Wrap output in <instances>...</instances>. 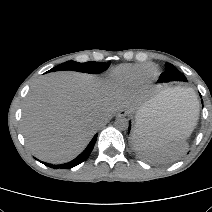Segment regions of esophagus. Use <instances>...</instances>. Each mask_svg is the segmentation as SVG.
Wrapping results in <instances>:
<instances>
[{"label": "esophagus", "mask_w": 212, "mask_h": 212, "mask_svg": "<svg viewBox=\"0 0 212 212\" xmlns=\"http://www.w3.org/2000/svg\"><path fill=\"white\" fill-rule=\"evenodd\" d=\"M126 115V112L124 110H119L118 113H117V116H125Z\"/></svg>", "instance_id": "obj_1"}]
</instances>
